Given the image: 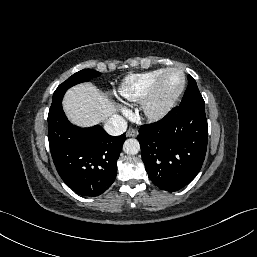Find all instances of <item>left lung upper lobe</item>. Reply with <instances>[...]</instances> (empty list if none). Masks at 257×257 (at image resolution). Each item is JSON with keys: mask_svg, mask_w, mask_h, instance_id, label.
<instances>
[{"mask_svg": "<svg viewBox=\"0 0 257 257\" xmlns=\"http://www.w3.org/2000/svg\"><path fill=\"white\" fill-rule=\"evenodd\" d=\"M180 107L200 106L205 107V102L199 92L196 81L192 76H188V87L179 105Z\"/></svg>", "mask_w": 257, "mask_h": 257, "instance_id": "5c2ea615", "label": "left lung upper lobe"}]
</instances>
